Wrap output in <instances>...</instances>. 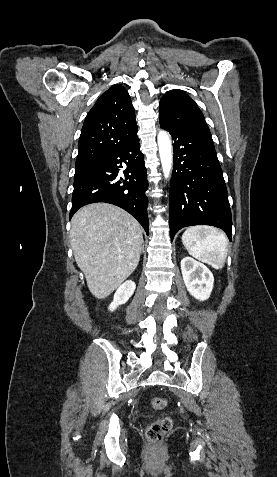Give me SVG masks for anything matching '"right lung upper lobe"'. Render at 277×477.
I'll return each mask as SVG.
<instances>
[{
    "label": "right lung upper lobe",
    "instance_id": "1",
    "mask_svg": "<svg viewBox=\"0 0 277 477\" xmlns=\"http://www.w3.org/2000/svg\"><path fill=\"white\" fill-rule=\"evenodd\" d=\"M137 136L134 107L126 89L111 86L87 114L75 168L87 165Z\"/></svg>",
    "mask_w": 277,
    "mask_h": 477
}]
</instances>
